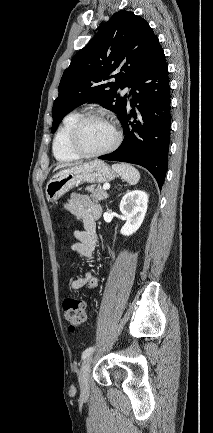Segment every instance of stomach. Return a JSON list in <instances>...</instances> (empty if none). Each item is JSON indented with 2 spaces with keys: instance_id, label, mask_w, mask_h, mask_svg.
I'll return each instance as SVG.
<instances>
[{
  "instance_id": "stomach-1",
  "label": "stomach",
  "mask_w": 213,
  "mask_h": 433,
  "mask_svg": "<svg viewBox=\"0 0 213 433\" xmlns=\"http://www.w3.org/2000/svg\"><path fill=\"white\" fill-rule=\"evenodd\" d=\"M115 177L116 173L100 160L75 165L60 171L49 180L46 185V198L53 202L82 183H105Z\"/></svg>"
}]
</instances>
